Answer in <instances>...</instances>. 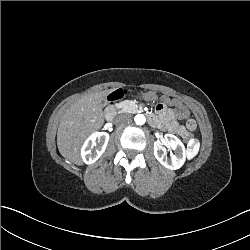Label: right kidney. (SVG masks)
Wrapping results in <instances>:
<instances>
[{
  "label": "right kidney",
  "instance_id": "obj_1",
  "mask_svg": "<svg viewBox=\"0 0 250 250\" xmlns=\"http://www.w3.org/2000/svg\"><path fill=\"white\" fill-rule=\"evenodd\" d=\"M97 140V142H96ZM109 141L107 132H94L84 142L81 148V157L85 164L95 163L104 153ZM95 147V150L92 149Z\"/></svg>",
  "mask_w": 250,
  "mask_h": 250
}]
</instances>
